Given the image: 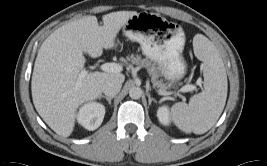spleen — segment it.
<instances>
[{"instance_id":"obj_1","label":"spleen","mask_w":267,"mask_h":166,"mask_svg":"<svg viewBox=\"0 0 267 166\" xmlns=\"http://www.w3.org/2000/svg\"><path fill=\"white\" fill-rule=\"evenodd\" d=\"M194 52L203 62L204 89L189 104L175 103L171 119L185 133L204 134L219 119L227 98V75L223 60L214 44L202 35L193 40Z\"/></svg>"}]
</instances>
